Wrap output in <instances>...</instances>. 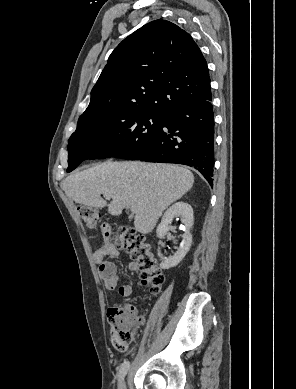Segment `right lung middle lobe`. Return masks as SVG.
Here are the masks:
<instances>
[{
	"mask_svg": "<svg viewBox=\"0 0 296 389\" xmlns=\"http://www.w3.org/2000/svg\"><path fill=\"white\" fill-rule=\"evenodd\" d=\"M165 116L136 108H116L79 118L67 147V172L86 159H137L162 127Z\"/></svg>",
	"mask_w": 296,
	"mask_h": 389,
	"instance_id": "dd1d6c3e",
	"label": "right lung middle lobe"
}]
</instances>
